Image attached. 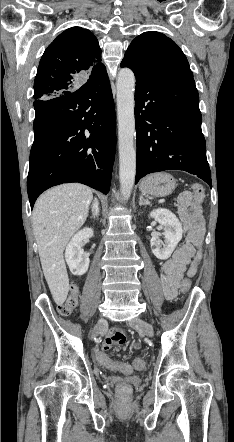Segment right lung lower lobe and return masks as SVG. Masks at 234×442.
Returning a JSON list of instances; mask_svg holds the SVG:
<instances>
[{
	"label": "right lung lower lobe",
	"mask_w": 234,
	"mask_h": 442,
	"mask_svg": "<svg viewBox=\"0 0 234 442\" xmlns=\"http://www.w3.org/2000/svg\"><path fill=\"white\" fill-rule=\"evenodd\" d=\"M34 142L27 191L31 209L46 189L79 182L107 194L116 147L114 101L107 73L76 91L34 101Z\"/></svg>",
	"instance_id": "1"
}]
</instances>
